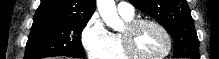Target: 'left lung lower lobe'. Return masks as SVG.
<instances>
[{"mask_svg":"<svg viewBox=\"0 0 219 59\" xmlns=\"http://www.w3.org/2000/svg\"><path fill=\"white\" fill-rule=\"evenodd\" d=\"M192 59H200V58H192Z\"/></svg>","mask_w":219,"mask_h":59,"instance_id":"1","label":"left lung lower lobe"}]
</instances>
